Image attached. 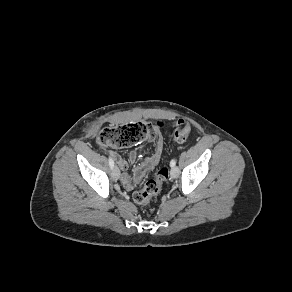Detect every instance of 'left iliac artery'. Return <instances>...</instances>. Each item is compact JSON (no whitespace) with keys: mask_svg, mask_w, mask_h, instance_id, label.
<instances>
[{"mask_svg":"<svg viewBox=\"0 0 292 292\" xmlns=\"http://www.w3.org/2000/svg\"><path fill=\"white\" fill-rule=\"evenodd\" d=\"M176 165V159H172L170 162V166L174 167Z\"/></svg>","mask_w":292,"mask_h":292,"instance_id":"left-iliac-artery-1","label":"left iliac artery"}]
</instances>
